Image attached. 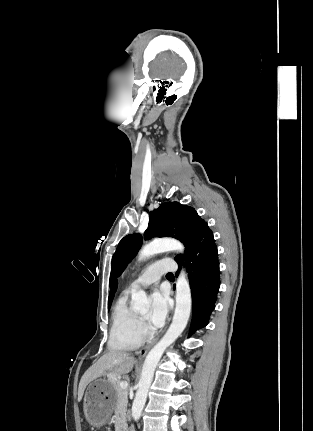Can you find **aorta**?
<instances>
[{
  "label": "aorta",
  "instance_id": "aorta-1",
  "mask_svg": "<svg viewBox=\"0 0 313 431\" xmlns=\"http://www.w3.org/2000/svg\"><path fill=\"white\" fill-rule=\"evenodd\" d=\"M167 251L183 252L184 246L181 242L172 238L155 239L143 246L139 252V260H145ZM132 303L135 311L146 312L149 309V301L143 290H138L132 295ZM191 306L192 299L189 282L186 273L182 271L176 283V308L172 323L161 340L149 351L143 364L141 378L131 409V416L135 421L141 417L155 369L164 351L175 342L186 328L191 313Z\"/></svg>",
  "mask_w": 313,
  "mask_h": 431
}]
</instances>
